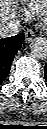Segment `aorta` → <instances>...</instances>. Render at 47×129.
Here are the masks:
<instances>
[{
    "label": "aorta",
    "mask_w": 47,
    "mask_h": 129,
    "mask_svg": "<svg viewBox=\"0 0 47 129\" xmlns=\"http://www.w3.org/2000/svg\"><path fill=\"white\" fill-rule=\"evenodd\" d=\"M31 53L38 59L47 58V40L45 38H34L30 44Z\"/></svg>",
    "instance_id": "obj_1"
}]
</instances>
